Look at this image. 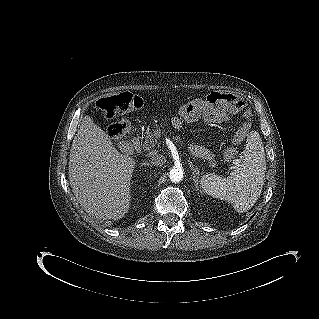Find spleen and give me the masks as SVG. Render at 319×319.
<instances>
[{"label": "spleen", "mask_w": 319, "mask_h": 319, "mask_svg": "<svg viewBox=\"0 0 319 319\" xmlns=\"http://www.w3.org/2000/svg\"><path fill=\"white\" fill-rule=\"evenodd\" d=\"M237 166L228 178L206 174L200 184L206 194L228 201L236 211L244 212L256 203L264 185L266 160L258 132L248 134L243 156Z\"/></svg>", "instance_id": "3e777b00"}]
</instances>
